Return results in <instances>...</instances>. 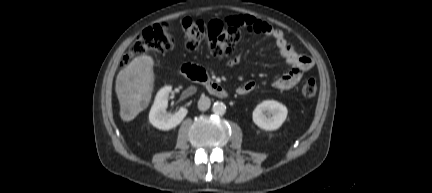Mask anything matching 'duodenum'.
<instances>
[{
  "label": "duodenum",
  "instance_id": "obj_1",
  "mask_svg": "<svg viewBox=\"0 0 432 193\" xmlns=\"http://www.w3.org/2000/svg\"><path fill=\"white\" fill-rule=\"evenodd\" d=\"M180 73L189 80L205 85L209 93L217 98H226L228 96L226 88L211 81L207 72L199 66L192 64L183 65L180 68Z\"/></svg>",
  "mask_w": 432,
  "mask_h": 193
}]
</instances>
